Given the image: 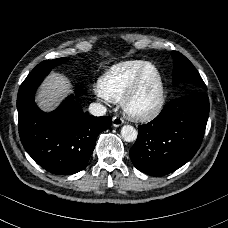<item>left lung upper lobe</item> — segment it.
Here are the masks:
<instances>
[{
  "label": "left lung upper lobe",
  "instance_id": "left-lung-upper-lobe-1",
  "mask_svg": "<svg viewBox=\"0 0 228 228\" xmlns=\"http://www.w3.org/2000/svg\"><path fill=\"white\" fill-rule=\"evenodd\" d=\"M172 57L174 60V85H184L190 92L207 90L200 74L184 55L177 51H173Z\"/></svg>",
  "mask_w": 228,
  "mask_h": 228
}]
</instances>
